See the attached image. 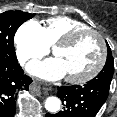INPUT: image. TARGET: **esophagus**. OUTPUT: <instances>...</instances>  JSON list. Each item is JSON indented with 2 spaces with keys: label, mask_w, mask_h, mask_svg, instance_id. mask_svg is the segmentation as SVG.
I'll return each instance as SVG.
<instances>
[{
  "label": "esophagus",
  "mask_w": 117,
  "mask_h": 117,
  "mask_svg": "<svg viewBox=\"0 0 117 117\" xmlns=\"http://www.w3.org/2000/svg\"><path fill=\"white\" fill-rule=\"evenodd\" d=\"M32 88L35 90V91H37V92H44V93H46V92H48L49 90H50V88L49 87H41L39 84H37V83H33L32 84Z\"/></svg>",
  "instance_id": "1"
}]
</instances>
